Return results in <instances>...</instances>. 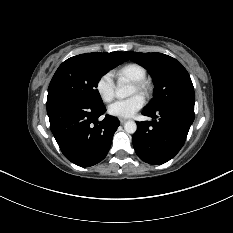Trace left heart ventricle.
<instances>
[{"label": "left heart ventricle", "mask_w": 233, "mask_h": 233, "mask_svg": "<svg viewBox=\"0 0 233 233\" xmlns=\"http://www.w3.org/2000/svg\"><path fill=\"white\" fill-rule=\"evenodd\" d=\"M137 94V91L134 87L131 88L130 95H135Z\"/></svg>", "instance_id": "1"}]
</instances>
